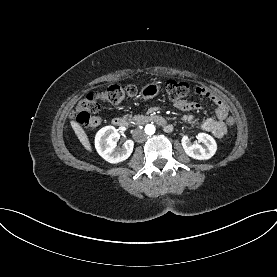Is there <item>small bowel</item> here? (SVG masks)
Masks as SVG:
<instances>
[{
	"instance_id": "c3829d8e",
	"label": "small bowel",
	"mask_w": 277,
	"mask_h": 277,
	"mask_svg": "<svg viewBox=\"0 0 277 277\" xmlns=\"http://www.w3.org/2000/svg\"><path fill=\"white\" fill-rule=\"evenodd\" d=\"M196 94L204 96L211 100L215 106L216 119L206 118L199 123V126L204 131L212 133L215 137H223L228 129L224 125V118L229 116V110L227 105L213 92L207 88L198 87L195 90ZM176 107L183 111H196L200 109V105L192 101H179L175 103ZM185 120L193 122L194 119L191 115H186Z\"/></svg>"
}]
</instances>
